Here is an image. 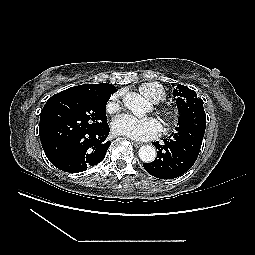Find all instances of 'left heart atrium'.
<instances>
[{
	"mask_svg": "<svg viewBox=\"0 0 255 255\" xmlns=\"http://www.w3.org/2000/svg\"><path fill=\"white\" fill-rule=\"evenodd\" d=\"M112 131L134 140H150L161 132L160 123L152 117L138 119L128 114L115 117L112 121Z\"/></svg>",
	"mask_w": 255,
	"mask_h": 255,
	"instance_id": "1",
	"label": "left heart atrium"
}]
</instances>
